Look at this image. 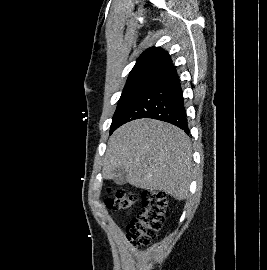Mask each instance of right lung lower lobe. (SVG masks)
<instances>
[{"instance_id":"right-lung-lower-lobe-1","label":"right lung lower lobe","mask_w":267,"mask_h":270,"mask_svg":"<svg viewBox=\"0 0 267 270\" xmlns=\"http://www.w3.org/2000/svg\"><path fill=\"white\" fill-rule=\"evenodd\" d=\"M139 118L165 121L189 134L180 80L172 63L155 75L126 114L123 124Z\"/></svg>"}]
</instances>
